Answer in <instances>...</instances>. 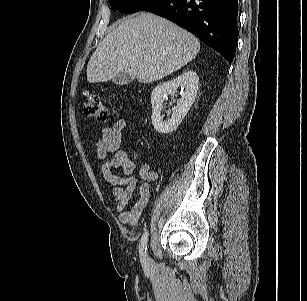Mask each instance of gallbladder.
Listing matches in <instances>:
<instances>
[{"label": "gallbladder", "instance_id": "bac80fb5", "mask_svg": "<svg viewBox=\"0 0 307 301\" xmlns=\"http://www.w3.org/2000/svg\"><path fill=\"white\" fill-rule=\"evenodd\" d=\"M133 80L134 77L126 72H121L112 79L113 83L116 85H126L131 83Z\"/></svg>", "mask_w": 307, "mask_h": 301}]
</instances>
